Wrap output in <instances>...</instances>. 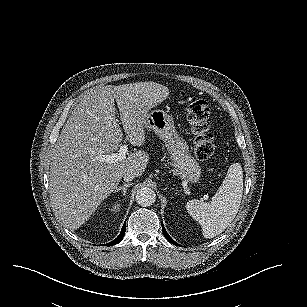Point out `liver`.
<instances>
[{"mask_svg": "<svg viewBox=\"0 0 307 307\" xmlns=\"http://www.w3.org/2000/svg\"><path fill=\"white\" fill-rule=\"evenodd\" d=\"M168 96V87L152 81L94 87L83 94L61 130L50 162L51 204L67 228L85 224L126 171L140 177L148 165L149 155L142 150L114 163L98 159L116 152L123 140L115 101L126 140L140 147L148 111Z\"/></svg>", "mask_w": 307, "mask_h": 307, "instance_id": "obj_1", "label": "liver"}]
</instances>
